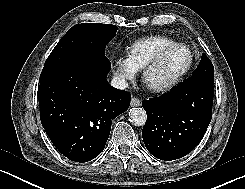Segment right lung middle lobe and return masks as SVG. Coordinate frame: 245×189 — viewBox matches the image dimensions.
<instances>
[{
    "mask_svg": "<svg viewBox=\"0 0 245 189\" xmlns=\"http://www.w3.org/2000/svg\"><path fill=\"white\" fill-rule=\"evenodd\" d=\"M116 25L100 23L76 24L58 42L47 58L39 82L55 78L80 58L105 53L106 45L115 37Z\"/></svg>",
    "mask_w": 245,
    "mask_h": 189,
    "instance_id": "1",
    "label": "right lung middle lobe"
}]
</instances>
